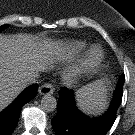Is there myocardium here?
I'll return each instance as SVG.
<instances>
[{
	"instance_id": "obj_1",
	"label": "myocardium",
	"mask_w": 135,
	"mask_h": 135,
	"mask_svg": "<svg viewBox=\"0 0 135 135\" xmlns=\"http://www.w3.org/2000/svg\"><path fill=\"white\" fill-rule=\"evenodd\" d=\"M103 58V51L100 47L94 46L92 47L88 54L86 59L83 62L82 67L79 69V71L76 74L70 75V79H75L79 73H83L86 71H89L100 64Z\"/></svg>"
}]
</instances>
